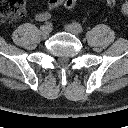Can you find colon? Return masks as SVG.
Returning a JSON list of instances; mask_svg holds the SVG:
<instances>
[{
    "label": "colon",
    "mask_w": 128,
    "mask_h": 128,
    "mask_svg": "<svg viewBox=\"0 0 128 128\" xmlns=\"http://www.w3.org/2000/svg\"><path fill=\"white\" fill-rule=\"evenodd\" d=\"M106 6L113 7L117 0H101ZM77 0H65L66 9H73ZM25 12V0H0V21L13 22ZM122 12L128 16V0L122 4Z\"/></svg>",
    "instance_id": "1"
}]
</instances>
